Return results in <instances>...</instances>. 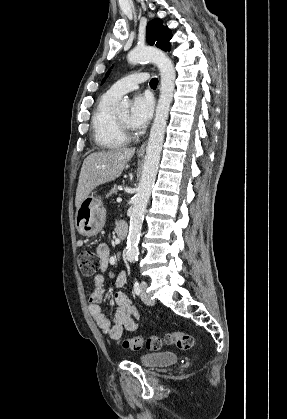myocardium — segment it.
I'll list each match as a JSON object with an SVG mask.
<instances>
[{
  "instance_id": "myocardium-1",
  "label": "myocardium",
  "mask_w": 287,
  "mask_h": 419,
  "mask_svg": "<svg viewBox=\"0 0 287 419\" xmlns=\"http://www.w3.org/2000/svg\"><path fill=\"white\" fill-rule=\"evenodd\" d=\"M114 123H115V126H116V128H117V130L119 131V133L121 134V136L125 139V140H128V139H130L132 136H133V134H132V132L130 131V129H129V127L128 126H126V125H124L119 119H118V117L116 116V114H114Z\"/></svg>"
}]
</instances>
